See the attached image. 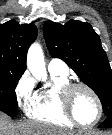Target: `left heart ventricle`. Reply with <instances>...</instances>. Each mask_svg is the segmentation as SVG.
I'll return each mask as SVG.
<instances>
[{
  "mask_svg": "<svg viewBox=\"0 0 112 135\" xmlns=\"http://www.w3.org/2000/svg\"><path fill=\"white\" fill-rule=\"evenodd\" d=\"M71 104L74 115L81 123H91L97 117V104L91 94L85 89L78 88L73 92Z\"/></svg>",
  "mask_w": 112,
  "mask_h": 135,
  "instance_id": "obj_1",
  "label": "left heart ventricle"
}]
</instances>
